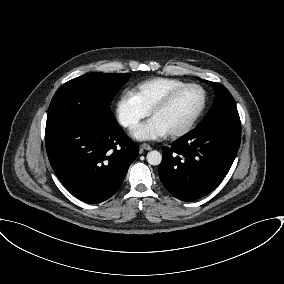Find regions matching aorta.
<instances>
[{"instance_id": "762f6f07", "label": "aorta", "mask_w": 284, "mask_h": 284, "mask_svg": "<svg viewBox=\"0 0 284 284\" xmlns=\"http://www.w3.org/2000/svg\"><path fill=\"white\" fill-rule=\"evenodd\" d=\"M146 159L150 165L156 166L161 163L162 155L160 152L153 150L147 153Z\"/></svg>"}]
</instances>
